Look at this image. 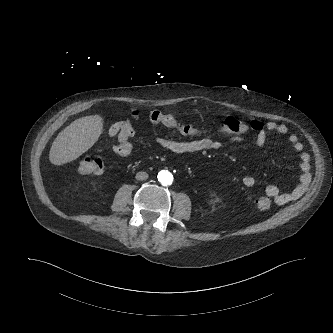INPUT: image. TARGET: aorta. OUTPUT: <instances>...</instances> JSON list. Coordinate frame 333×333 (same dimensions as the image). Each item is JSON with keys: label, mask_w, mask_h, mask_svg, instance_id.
Masks as SVG:
<instances>
[{"label": "aorta", "mask_w": 333, "mask_h": 333, "mask_svg": "<svg viewBox=\"0 0 333 333\" xmlns=\"http://www.w3.org/2000/svg\"><path fill=\"white\" fill-rule=\"evenodd\" d=\"M158 180L162 185H170L173 181V177L168 171H161L158 174Z\"/></svg>", "instance_id": "1"}]
</instances>
